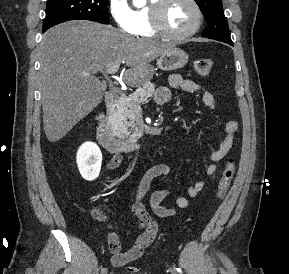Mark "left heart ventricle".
<instances>
[{"mask_svg": "<svg viewBox=\"0 0 289 274\" xmlns=\"http://www.w3.org/2000/svg\"><path fill=\"white\" fill-rule=\"evenodd\" d=\"M196 12L188 0H172L165 12L166 27L175 33L190 30L196 23Z\"/></svg>", "mask_w": 289, "mask_h": 274, "instance_id": "1", "label": "left heart ventricle"}]
</instances>
